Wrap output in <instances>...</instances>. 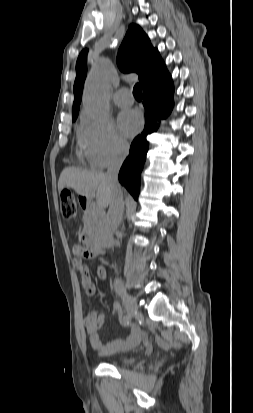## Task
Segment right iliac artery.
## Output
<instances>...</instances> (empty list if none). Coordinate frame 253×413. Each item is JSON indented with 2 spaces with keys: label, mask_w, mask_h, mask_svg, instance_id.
Returning <instances> with one entry per match:
<instances>
[{
  "label": "right iliac artery",
  "mask_w": 253,
  "mask_h": 413,
  "mask_svg": "<svg viewBox=\"0 0 253 413\" xmlns=\"http://www.w3.org/2000/svg\"><path fill=\"white\" fill-rule=\"evenodd\" d=\"M122 319L125 323H129V317L128 316H124Z\"/></svg>",
  "instance_id": "82829eb1"
}]
</instances>
